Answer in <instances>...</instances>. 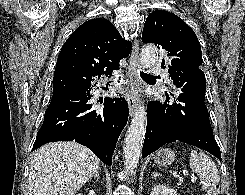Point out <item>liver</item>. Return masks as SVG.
I'll list each match as a JSON object with an SVG mask.
<instances>
[{
    "mask_svg": "<svg viewBox=\"0 0 245 195\" xmlns=\"http://www.w3.org/2000/svg\"><path fill=\"white\" fill-rule=\"evenodd\" d=\"M100 160L76 142H54L33 153L29 195H74L98 172Z\"/></svg>",
    "mask_w": 245,
    "mask_h": 195,
    "instance_id": "liver-1",
    "label": "liver"
}]
</instances>
